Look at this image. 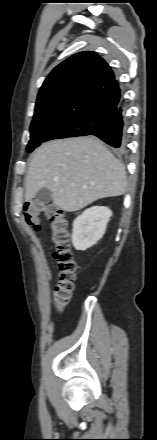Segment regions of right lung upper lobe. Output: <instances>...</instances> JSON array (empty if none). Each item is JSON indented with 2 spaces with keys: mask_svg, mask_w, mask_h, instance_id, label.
<instances>
[{
  "mask_svg": "<svg viewBox=\"0 0 157 440\" xmlns=\"http://www.w3.org/2000/svg\"><path fill=\"white\" fill-rule=\"evenodd\" d=\"M121 91L111 68L95 52L74 54L45 79L32 122L89 121L121 103Z\"/></svg>",
  "mask_w": 157,
  "mask_h": 440,
  "instance_id": "obj_1",
  "label": "right lung upper lobe"
}]
</instances>
